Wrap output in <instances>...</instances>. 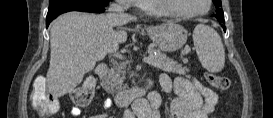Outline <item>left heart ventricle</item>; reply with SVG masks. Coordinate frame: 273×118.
<instances>
[{"label":"left heart ventricle","instance_id":"1","mask_svg":"<svg viewBox=\"0 0 273 118\" xmlns=\"http://www.w3.org/2000/svg\"><path fill=\"white\" fill-rule=\"evenodd\" d=\"M175 2L184 12H198L206 8L205 0H175Z\"/></svg>","mask_w":273,"mask_h":118}]
</instances>
